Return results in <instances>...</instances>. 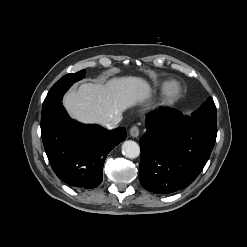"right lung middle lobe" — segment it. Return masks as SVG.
<instances>
[{
	"instance_id": "obj_1",
	"label": "right lung middle lobe",
	"mask_w": 247,
	"mask_h": 247,
	"mask_svg": "<svg viewBox=\"0 0 247 247\" xmlns=\"http://www.w3.org/2000/svg\"><path fill=\"white\" fill-rule=\"evenodd\" d=\"M85 70H81L77 73H70L63 76L60 80H58L53 87L48 92L44 102L42 111L62 102V98L64 93L70 88V86L82 79L84 77Z\"/></svg>"
}]
</instances>
